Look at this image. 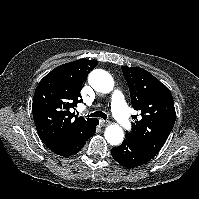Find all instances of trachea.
I'll return each instance as SVG.
<instances>
[{
    "label": "trachea",
    "mask_w": 199,
    "mask_h": 199,
    "mask_svg": "<svg viewBox=\"0 0 199 199\" xmlns=\"http://www.w3.org/2000/svg\"><path fill=\"white\" fill-rule=\"evenodd\" d=\"M87 117H101L104 120H106L107 115L102 111H96L94 113H91L90 115H87Z\"/></svg>",
    "instance_id": "3493384b"
}]
</instances>
